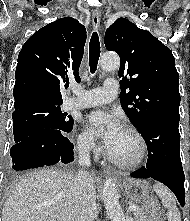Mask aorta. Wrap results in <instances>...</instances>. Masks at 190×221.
Returning <instances> with one entry per match:
<instances>
[{
	"instance_id": "aorta-1",
	"label": "aorta",
	"mask_w": 190,
	"mask_h": 221,
	"mask_svg": "<svg viewBox=\"0 0 190 221\" xmlns=\"http://www.w3.org/2000/svg\"><path fill=\"white\" fill-rule=\"evenodd\" d=\"M119 65L120 59L116 54H105L100 61L101 69L104 71L116 70ZM102 198L106 212L112 221H126V217L119 202V195L111 179H107L104 183Z\"/></svg>"
}]
</instances>
